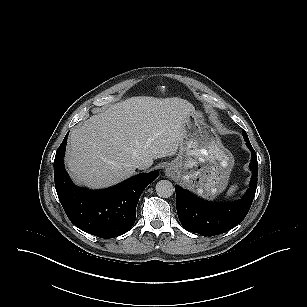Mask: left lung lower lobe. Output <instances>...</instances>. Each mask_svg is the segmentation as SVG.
<instances>
[{"label": "left lung lower lobe", "mask_w": 307, "mask_h": 307, "mask_svg": "<svg viewBox=\"0 0 307 307\" xmlns=\"http://www.w3.org/2000/svg\"><path fill=\"white\" fill-rule=\"evenodd\" d=\"M252 153L251 182L245 196L233 203H213L199 199L189 191L175 187L176 207L182 226L202 236L225 233L241 223L253 202L258 175L257 156L251 144L246 143Z\"/></svg>", "instance_id": "1"}]
</instances>
